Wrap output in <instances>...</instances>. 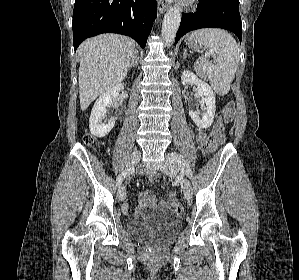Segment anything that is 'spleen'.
Returning a JSON list of instances; mask_svg holds the SVG:
<instances>
[{"instance_id": "1", "label": "spleen", "mask_w": 299, "mask_h": 280, "mask_svg": "<svg viewBox=\"0 0 299 280\" xmlns=\"http://www.w3.org/2000/svg\"><path fill=\"white\" fill-rule=\"evenodd\" d=\"M190 39H196L217 54L215 64L204 62V70L213 90L218 95H226L230 90L239 63L237 42L228 32L211 28L193 32Z\"/></svg>"}]
</instances>
